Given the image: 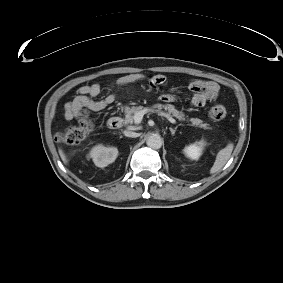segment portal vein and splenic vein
I'll use <instances>...</instances> for the list:
<instances>
[{"mask_svg": "<svg viewBox=\"0 0 283 283\" xmlns=\"http://www.w3.org/2000/svg\"><path fill=\"white\" fill-rule=\"evenodd\" d=\"M148 111H149V109L144 108V109L136 112L133 116L134 123L137 124V125L140 124L142 119H143L144 114H146ZM161 114L163 116H165L168 119V121H170L171 123H173V124L176 123V120L172 116L165 114V113H161Z\"/></svg>", "mask_w": 283, "mask_h": 283, "instance_id": "18ae733b", "label": "portal vein and splenic vein"}]
</instances>
